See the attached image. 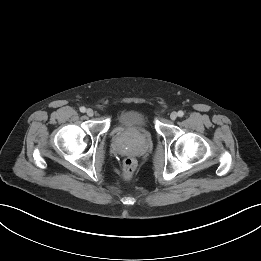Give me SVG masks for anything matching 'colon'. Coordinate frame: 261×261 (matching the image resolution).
Here are the masks:
<instances>
[{"label":"colon","instance_id":"colon-1","mask_svg":"<svg viewBox=\"0 0 261 261\" xmlns=\"http://www.w3.org/2000/svg\"><path fill=\"white\" fill-rule=\"evenodd\" d=\"M137 162L134 158H126L123 162V174L125 177H130L136 170Z\"/></svg>","mask_w":261,"mask_h":261}]
</instances>
